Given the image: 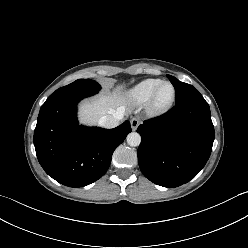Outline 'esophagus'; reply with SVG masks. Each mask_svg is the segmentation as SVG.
Segmentation results:
<instances>
[{
	"mask_svg": "<svg viewBox=\"0 0 248 248\" xmlns=\"http://www.w3.org/2000/svg\"><path fill=\"white\" fill-rule=\"evenodd\" d=\"M130 123L132 130L135 131L140 124V120L138 118H132Z\"/></svg>",
	"mask_w": 248,
	"mask_h": 248,
	"instance_id": "34e87169",
	"label": "esophagus"
}]
</instances>
